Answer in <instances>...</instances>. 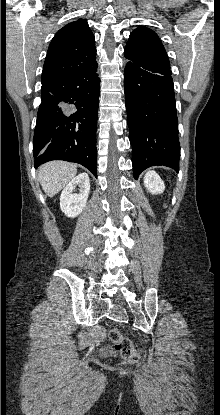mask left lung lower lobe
Wrapping results in <instances>:
<instances>
[{"label":"left lung lower lobe","mask_w":220,"mask_h":415,"mask_svg":"<svg viewBox=\"0 0 220 415\" xmlns=\"http://www.w3.org/2000/svg\"><path fill=\"white\" fill-rule=\"evenodd\" d=\"M170 68L129 61L124 91L135 178L164 165L179 171L178 118Z\"/></svg>","instance_id":"left-lung-lower-lobe-1"}]
</instances>
